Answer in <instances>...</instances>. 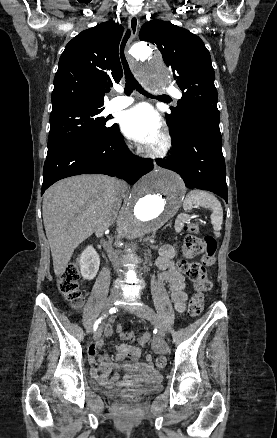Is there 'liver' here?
Segmentation results:
<instances>
[{
  "instance_id": "liver-1",
  "label": "liver",
  "mask_w": 277,
  "mask_h": 438,
  "mask_svg": "<svg viewBox=\"0 0 277 438\" xmlns=\"http://www.w3.org/2000/svg\"><path fill=\"white\" fill-rule=\"evenodd\" d=\"M120 180L93 174L60 180L43 196V222L54 274L60 278L72 254L96 230H105L121 206Z\"/></svg>"
}]
</instances>
